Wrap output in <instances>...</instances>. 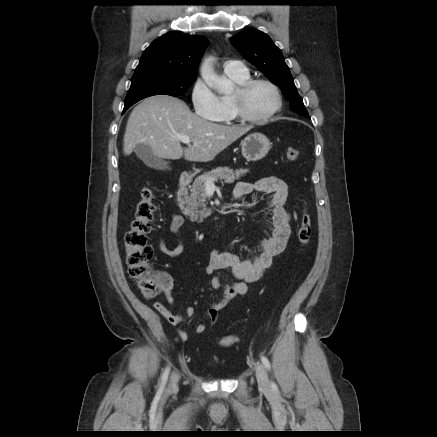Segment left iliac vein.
<instances>
[{
    "label": "left iliac vein",
    "mask_w": 437,
    "mask_h": 437,
    "mask_svg": "<svg viewBox=\"0 0 437 437\" xmlns=\"http://www.w3.org/2000/svg\"><path fill=\"white\" fill-rule=\"evenodd\" d=\"M255 372L259 388L266 393L271 392V384L264 365L258 363Z\"/></svg>",
    "instance_id": "left-iliac-vein-1"
}]
</instances>
